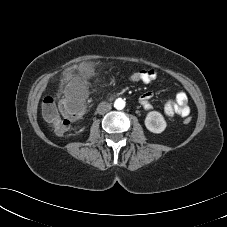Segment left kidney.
<instances>
[{
  "label": "left kidney",
  "mask_w": 227,
  "mask_h": 227,
  "mask_svg": "<svg viewBox=\"0 0 227 227\" xmlns=\"http://www.w3.org/2000/svg\"><path fill=\"white\" fill-rule=\"evenodd\" d=\"M145 126L152 133H162L167 124L163 115L158 111H151L145 118Z\"/></svg>",
  "instance_id": "5707ae66"
}]
</instances>
